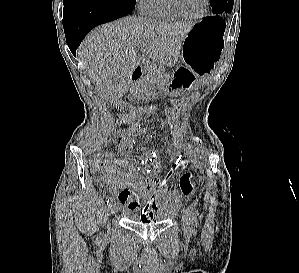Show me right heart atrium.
Listing matches in <instances>:
<instances>
[{
  "instance_id": "obj_1",
  "label": "right heart atrium",
  "mask_w": 299,
  "mask_h": 273,
  "mask_svg": "<svg viewBox=\"0 0 299 273\" xmlns=\"http://www.w3.org/2000/svg\"><path fill=\"white\" fill-rule=\"evenodd\" d=\"M148 0H136L138 9L143 12Z\"/></svg>"
}]
</instances>
